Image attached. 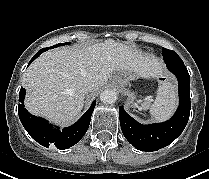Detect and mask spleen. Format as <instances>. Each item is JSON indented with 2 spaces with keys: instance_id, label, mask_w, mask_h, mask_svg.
<instances>
[{
  "instance_id": "3e777b00",
  "label": "spleen",
  "mask_w": 209,
  "mask_h": 179,
  "mask_svg": "<svg viewBox=\"0 0 209 179\" xmlns=\"http://www.w3.org/2000/svg\"><path fill=\"white\" fill-rule=\"evenodd\" d=\"M176 105L177 94L175 85L172 82H164L159 86L156 98L149 111L155 120L162 122L172 116Z\"/></svg>"
}]
</instances>
